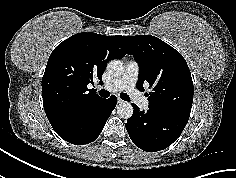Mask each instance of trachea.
I'll return each instance as SVG.
<instances>
[{
    "label": "trachea",
    "instance_id": "obj_1",
    "mask_svg": "<svg viewBox=\"0 0 236 178\" xmlns=\"http://www.w3.org/2000/svg\"><path fill=\"white\" fill-rule=\"evenodd\" d=\"M99 94L101 97L103 98H108L110 96L109 92L105 91V90H100ZM120 98L124 101H130L129 96L126 93H121L120 94Z\"/></svg>",
    "mask_w": 236,
    "mask_h": 178
}]
</instances>
